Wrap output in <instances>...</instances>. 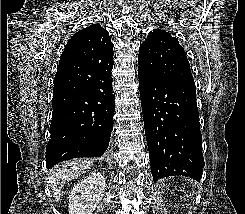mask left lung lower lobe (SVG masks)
Returning a JSON list of instances; mask_svg holds the SVG:
<instances>
[{"label":"left lung lower lobe","instance_id":"left-lung-lower-lobe-1","mask_svg":"<svg viewBox=\"0 0 245 214\" xmlns=\"http://www.w3.org/2000/svg\"><path fill=\"white\" fill-rule=\"evenodd\" d=\"M151 172L155 181H200L204 159L195 84L165 81L138 70Z\"/></svg>","mask_w":245,"mask_h":214}]
</instances>
